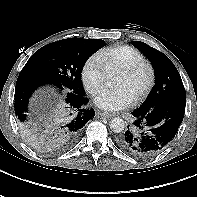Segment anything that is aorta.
I'll list each match as a JSON object with an SVG mask.
<instances>
[{
    "label": "aorta",
    "instance_id": "obj_1",
    "mask_svg": "<svg viewBox=\"0 0 197 197\" xmlns=\"http://www.w3.org/2000/svg\"><path fill=\"white\" fill-rule=\"evenodd\" d=\"M110 129L114 133H121L125 129V121L119 117L111 119Z\"/></svg>",
    "mask_w": 197,
    "mask_h": 197
}]
</instances>
